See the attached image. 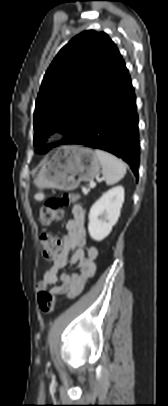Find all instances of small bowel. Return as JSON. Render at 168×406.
I'll use <instances>...</instances> for the list:
<instances>
[{
	"mask_svg": "<svg viewBox=\"0 0 168 406\" xmlns=\"http://www.w3.org/2000/svg\"><path fill=\"white\" fill-rule=\"evenodd\" d=\"M73 218L66 223L67 233L61 239V248L50 259L42 279L36 289L43 291L53 286L50 292L55 295L74 298L84 289L87 281L96 272L98 249L87 245L85 229V212L81 206L72 208ZM70 255V257H69ZM70 263L76 266L78 273H62L61 270Z\"/></svg>",
	"mask_w": 168,
	"mask_h": 406,
	"instance_id": "obj_1",
	"label": "small bowel"
}]
</instances>
